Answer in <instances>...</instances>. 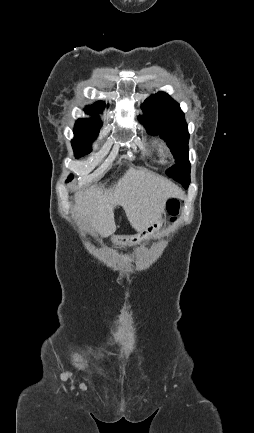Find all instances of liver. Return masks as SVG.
Masks as SVG:
<instances>
[{
    "label": "liver",
    "mask_w": 254,
    "mask_h": 433,
    "mask_svg": "<svg viewBox=\"0 0 254 433\" xmlns=\"http://www.w3.org/2000/svg\"><path fill=\"white\" fill-rule=\"evenodd\" d=\"M180 193L168 179L130 167L109 188L102 184L77 192L74 212L101 236L108 237L116 231L114 209L122 206L131 226L141 232L161 218L166 201Z\"/></svg>",
    "instance_id": "1"
}]
</instances>
